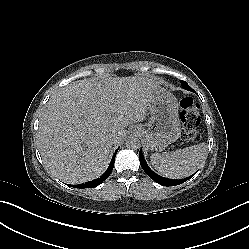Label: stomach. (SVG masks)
<instances>
[{
	"instance_id": "0dacf381",
	"label": "stomach",
	"mask_w": 249,
	"mask_h": 249,
	"mask_svg": "<svg viewBox=\"0 0 249 249\" xmlns=\"http://www.w3.org/2000/svg\"><path fill=\"white\" fill-rule=\"evenodd\" d=\"M151 117L138 131L148 149L163 150L175 142L180 134V121L176 113V99L161 87L153 89L147 97Z\"/></svg>"
}]
</instances>
